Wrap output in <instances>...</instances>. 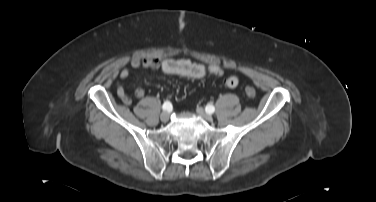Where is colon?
<instances>
[{
  "label": "colon",
  "instance_id": "1",
  "mask_svg": "<svg viewBox=\"0 0 376 202\" xmlns=\"http://www.w3.org/2000/svg\"><path fill=\"white\" fill-rule=\"evenodd\" d=\"M245 93L248 97H254L256 95V90L252 86H246Z\"/></svg>",
  "mask_w": 376,
  "mask_h": 202
}]
</instances>
